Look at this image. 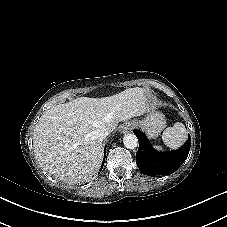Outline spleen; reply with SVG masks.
<instances>
[{
    "instance_id": "3e777b00",
    "label": "spleen",
    "mask_w": 227,
    "mask_h": 227,
    "mask_svg": "<svg viewBox=\"0 0 227 227\" xmlns=\"http://www.w3.org/2000/svg\"><path fill=\"white\" fill-rule=\"evenodd\" d=\"M187 138V130L183 123L176 122L173 127H168L162 134V140L165 145L172 149L179 148ZM157 150H162L161 146H154Z\"/></svg>"
}]
</instances>
